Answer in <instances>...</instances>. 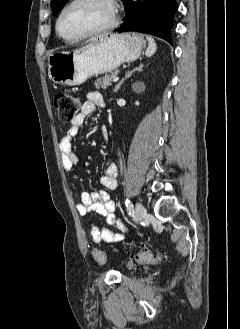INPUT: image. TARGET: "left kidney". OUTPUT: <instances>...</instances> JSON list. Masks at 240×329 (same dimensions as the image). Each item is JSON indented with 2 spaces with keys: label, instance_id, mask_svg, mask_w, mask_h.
Instances as JSON below:
<instances>
[{
  "label": "left kidney",
  "instance_id": "obj_1",
  "mask_svg": "<svg viewBox=\"0 0 240 329\" xmlns=\"http://www.w3.org/2000/svg\"><path fill=\"white\" fill-rule=\"evenodd\" d=\"M134 90H141L144 89V84L143 83H136L133 85Z\"/></svg>",
  "mask_w": 240,
  "mask_h": 329
}]
</instances>
